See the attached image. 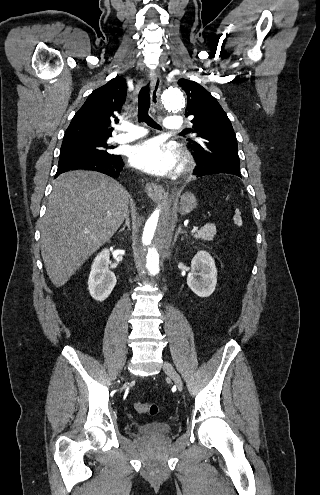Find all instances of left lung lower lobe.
<instances>
[{
  "instance_id": "obj_1",
  "label": "left lung lower lobe",
  "mask_w": 320,
  "mask_h": 495,
  "mask_svg": "<svg viewBox=\"0 0 320 495\" xmlns=\"http://www.w3.org/2000/svg\"><path fill=\"white\" fill-rule=\"evenodd\" d=\"M195 161L198 162V166L194 169V175L197 177L218 174V173H228L241 177L240 169L228 167V166H211L203 162L202 159L194 157Z\"/></svg>"
}]
</instances>
